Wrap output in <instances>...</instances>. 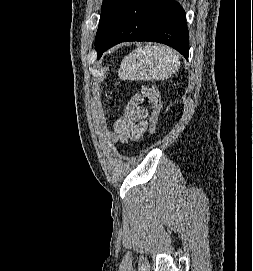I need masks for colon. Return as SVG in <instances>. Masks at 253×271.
<instances>
[{"label": "colon", "instance_id": "1", "mask_svg": "<svg viewBox=\"0 0 253 271\" xmlns=\"http://www.w3.org/2000/svg\"><path fill=\"white\" fill-rule=\"evenodd\" d=\"M143 98L147 99L151 105L150 133L154 134L159 129L161 120V102L156 89L152 85H146L142 90Z\"/></svg>", "mask_w": 253, "mask_h": 271}]
</instances>
